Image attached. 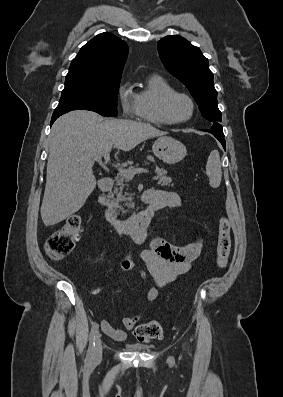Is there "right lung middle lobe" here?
Masks as SVG:
<instances>
[{
    "label": "right lung middle lobe",
    "mask_w": 283,
    "mask_h": 397,
    "mask_svg": "<svg viewBox=\"0 0 283 397\" xmlns=\"http://www.w3.org/2000/svg\"><path fill=\"white\" fill-rule=\"evenodd\" d=\"M120 80L67 74L55 111L91 110L102 116L116 117Z\"/></svg>",
    "instance_id": "obj_1"
}]
</instances>
